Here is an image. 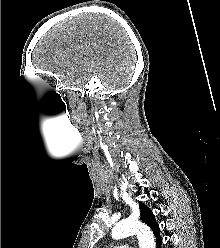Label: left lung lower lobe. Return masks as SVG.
Masks as SVG:
<instances>
[{
  "mask_svg": "<svg viewBox=\"0 0 220 248\" xmlns=\"http://www.w3.org/2000/svg\"><path fill=\"white\" fill-rule=\"evenodd\" d=\"M155 237H156L157 247L160 248V246H161V237H160V232L159 231L155 234Z\"/></svg>",
  "mask_w": 220,
  "mask_h": 248,
  "instance_id": "0a47b994",
  "label": "left lung lower lobe"
}]
</instances>
